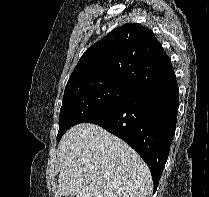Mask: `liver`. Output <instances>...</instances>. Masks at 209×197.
Returning a JSON list of instances; mask_svg holds the SVG:
<instances>
[{
    "mask_svg": "<svg viewBox=\"0 0 209 197\" xmlns=\"http://www.w3.org/2000/svg\"><path fill=\"white\" fill-rule=\"evenodd\" d=\"M58 149L55 197H147L152 190L150 170L139 154L98 125L73 126Z\"/></svg>",
    "mask_w": 209,
    "mask_h": 197,
    "instance_id": "obj_1",
    "label": "liver"
}]
</instances>
